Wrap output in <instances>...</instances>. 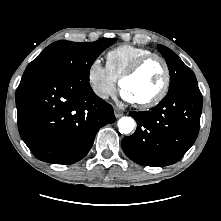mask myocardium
<instances>
[{
    "instance_id": "myocardium-1",
    "label": "myocardium",
    "mask_w": 221,
    "mask_h": 221,
    "mask_svg": "<svg viewBox=\"0 0 221 221\" xmlns=\"http://www.w3.org/2000/svg\"><path fill=\"white\" fill-rule=\"evenodd\" d=\"M158 60L164 69V81L160 88V90L150 99L142 101V102H135L136 106L138 108L147 109L154 107L158 105L167 95L170 84H171V72H170V66L167 62V60L157 54V53H150L147 55L142 56L137 61H135L120 77L119 79V85L123 89V83L125 80L133 77L135 74H137L141 68L149 61L151 60Z\"/></svg>"
}]
</instances>
